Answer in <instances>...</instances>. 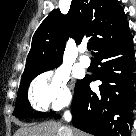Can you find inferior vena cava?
Segmentation results:
<instances>
[{"label":"inferior vena cava","mask_w":136,"mask_h":136,"mask_svg":"<svg viewBox=\"0 0 136 136\" xmlns=\"http://www.w3.org/2000/svg\"><path fill=\"white\" fill-rule=\"evenodd\" d=\"M64 118L66 121H70L71 120V114L69 111H66L64 114Z\"/></svg>","instance_id":"602c4592"}]
</instances>
